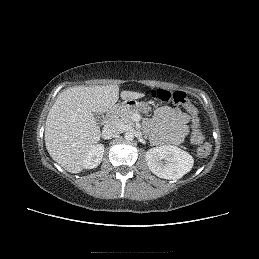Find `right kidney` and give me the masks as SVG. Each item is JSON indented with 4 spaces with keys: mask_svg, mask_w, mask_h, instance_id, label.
I'll use <instances>...</instances> for the list:
<instances>
[{
    "mask_svg": "<svg viewBox=\"0 0 259 259\" xmlns=\"http://www.w3.org/2000/svg\"><path fill=\"white\" fill-rule=\"evenodd\" d=\"M103 154H104V145L103 144L94 145L86 155V158L84 160V168L92 169L97 167L102 161Z\"/></svg>",
    "mask_w": 259,
    "mask_h": 259,
    "instance_id": "1",
    "label": "right kidney"
}]
</instances>
